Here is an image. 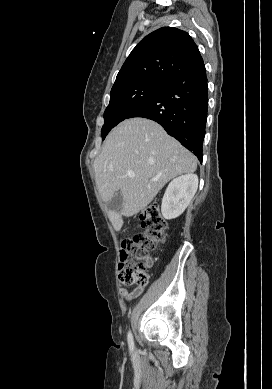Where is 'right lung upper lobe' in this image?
<instances>
[{
    "label": "right lung upper lobe",
    "instance_id": "cb5924a9",
    "mask_svg": "<svg viewBox=\"0 0 272 389\" xmlns=\"http://www.w3.org/2000/svg\"><path fill=\"white\" fill-rule=\"evenodd\" d=\"M203 64L191 36L174 27H162L144 37L120 69L112 88L141 80L168 83Z\"/></svg>",
    "mask_w": 272,
    "mask_h": 389
}]
</instances>
